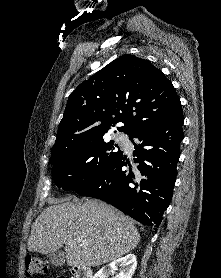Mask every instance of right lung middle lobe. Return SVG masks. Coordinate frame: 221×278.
<instances>
[{"mask_svg": "<svg viewBox=\"0 0 221 278\" xmlns=\"http://www.w3.org/2000/svg\"><path fill=\"white\" fill-rule=\"evenodd\" d=\"M113 143H105L102 136L88 139L52 151L49 164L56 185L64 190H76L104 171L120 154L106 152Z\"/></svg>", "mask_w": 221, "mask_h": 278, "instance_id": "dd1d6c3e", "label": "right lung middle lobe"}]
</instances>
